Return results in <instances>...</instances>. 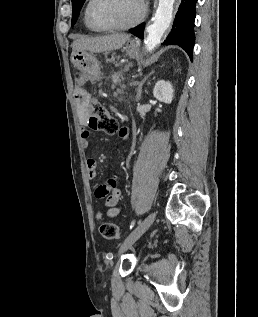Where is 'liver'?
Segmentation results:
<instances>
[{"label":"liver","instance_id":"1","mask_svg":"<svg viewBox=\"0 0 258 317\" xmlns=\"http://www.w3.org/2000/svg\"><path fill=\"white\" fill-rule=\"evenodd\" d=\"M131 34L125 32H115V34H105V36H93V38H75L72 44V54L76 50H89V52H104V50H116L129 40Z\"/></svg>","mask_w":258,"mask_h":317}]
</instances>
